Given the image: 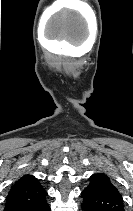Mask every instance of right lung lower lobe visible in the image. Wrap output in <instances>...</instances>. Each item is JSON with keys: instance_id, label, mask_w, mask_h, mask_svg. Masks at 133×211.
I'll return each instance as SVG.
<instances>
[{"instance_id": "98d812e1", "label": "right lung lower lobe", "mask_w": 133, "mask_h": 211, "mask_svg": "<svg viewBox=\"0 0 133 211\" xmlns=\"http://www.w3.org/2000/svg\"><path fill=\"white\" fill-rule=\"evenodd\" d=\"M46 196L42 201L18 211H51L47 203Z\"/></svg>"}]
</instances>
